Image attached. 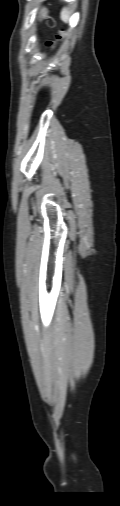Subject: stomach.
<instances>
[{
	"label": "stomach",
	"instance_id": "1",
	"mask_svg": "<svg viewBox=\"0 0 120 506\" xmlns=\"http://www.w3.org/2000/svg\"><path fill=\"white\" fill-rule=\"evenodd\" d=\"M47 15V10L45 8H42L41 11H40V16L41 17H46Z\"/></svg>",
	"mask_w": 120,
	"mask_h": 506
}]
</instances>
